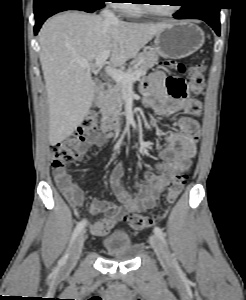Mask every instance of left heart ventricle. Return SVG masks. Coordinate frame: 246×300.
<instances>
[{"mask_svg": "<svg viewBox=\"0 0 246 300\" xmlns=\"http://www.w3.org/2000/svg\"><path fill=\"white\" fill-rule=\"evenodd\" d=\"M158 2L159 4H151L152 8L156 11L159 12H169L174 8V3L175 1H167V0H162V1H155Z\"/></svg>", "mask_w": 246, "mask_h": 300, "instance_id": "b2bd125f", "label": "left heart ventricle"}]
</instances>
